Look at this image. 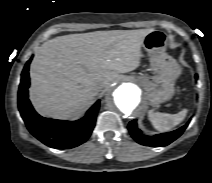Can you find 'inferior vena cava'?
Masks as SVG:
<instances>
[{"label": "inferior vena cava", "instance_id": "602c4592", "mask_svg": "<svg viewBox=\"0 0 212 183\" xmlns=\"http://www.w3.org/2000/svg\"><path fill=\"white\" fill-rule=\"evenodd\" d=\"M104 87V84L100 83L96 85V90L100 91Z\"/></svg>", "mask_w": 212, "mask_h": 183}]
</instances>
